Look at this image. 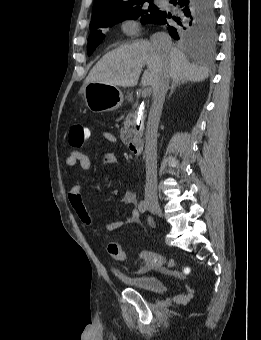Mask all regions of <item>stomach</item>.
<instances>
[{
  "instance_id": "1",
  "label": "stomach",
  "mask_w": 261,
  "mask_h": 340,
  "mask_svg": "<svg viewBox=\"0 0 261 340\" xmlns=\"http://www.w3.org/2000/svg\"><path fill=\"white\" fill-rule=\"evenodd\" d=\"M84 99L87 107L94 113L114 111L124 100L117 86L92 82L84 86Z\"/></svg>"
}]
</instances>
